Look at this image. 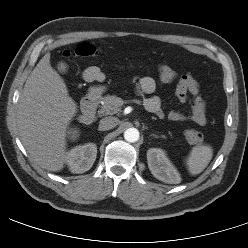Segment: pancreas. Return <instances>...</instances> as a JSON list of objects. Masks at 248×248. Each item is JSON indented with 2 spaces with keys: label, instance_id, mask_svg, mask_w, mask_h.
Instances as JSON below:
<instances>
[{
  "label": "pancreas",
  "instance_id": "cf45deb5",
  "mask_svg": "<svg viewBox=\"0 0 248 248\" xmlns=\"http://www.w3.org/2000/svg\"><path fill=\"white\" fill-rule=\"evenodd\" d=\"M103 105L101 106L99 113L104 115L115 114L120 110L121 103L119 98L115 95H107L102 98Z\"/></svg>",
  "mask_w": 248,
  "mask_h": 248
}]
</instances>
